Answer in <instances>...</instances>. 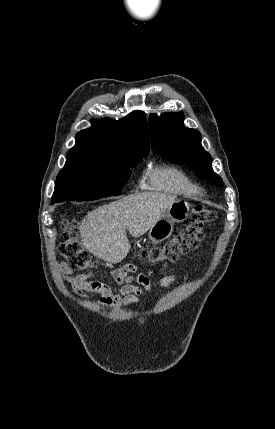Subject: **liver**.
<instances>
[{
	"mask_svg": "<svg viewBox=\"0 0 275 429\" xmlns=\"http://www.w3.org/2000/svg\"><path fill=\"white\" fill-rule=\"evenodd\" d=\"M175 201L174 195L143 192L98 207L79 225L83 246L109 263H119L131 248L126 228L133 237L142 236Z\"/></svg>",
	"mask_w": 275,
	"mask_h": 429,
	"instance_id": "6515ba94",
	"label": "liver"
}]
</instances>
